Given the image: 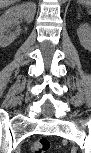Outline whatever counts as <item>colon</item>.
Returning <instances> with one entry per match:
<instances>
[{"label": "colon", "instance_id": "5ec220e1", "mask_svg": "<svg viewBox=\"0 0 91 153\" xmlns=\"http://www.w3.org/2000/svg\"><path fill=\"white\" fill-rule=\"evenodd\" d=\"M50 141L47 138H39L32 142L31 152L32 153H46L50 149Z\"/></svg>", "mask_w": 91, "mask_h": 153}]
</instances>
